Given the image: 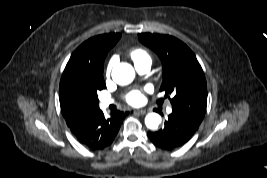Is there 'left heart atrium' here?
I'll return each mask as SVG.
<instances>
[{
	"instance_id": "obj_1",
	"label": "left heart atrium",
	"mask_w": 267,
	"mask_h": 178,
	"mask_svg": "<svg viewBox=\"0 0 267 178\" xmlns=\"http://www.w3.org/2000/svg\"><path fill=\"white\" fill-rule=\"evenodd\" d=\"M125 101L133 106L140 105L144 102V94L142 89H132L124 95Z\"/></svg>"
}]
</instances>
